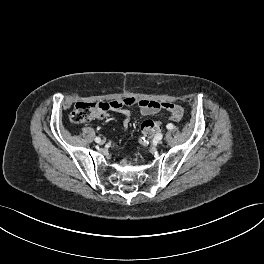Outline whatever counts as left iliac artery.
<instances>
[{"label": "left iliac artery", "instance_id": "44dca946", "mask_svg": "<svg viewBox=\"0 0 264 264\" xmlns=\"http://www.w3.org/2000/svg\"><path fill=\"white\" fill-rule=\"evenodd\" d=\"M173 127H174V125H173L172 123H169V124L167 125V129H169V130L173 129Z\"/></svg>", "mask_w": 264, "mask_h": 264}]
</instances>
